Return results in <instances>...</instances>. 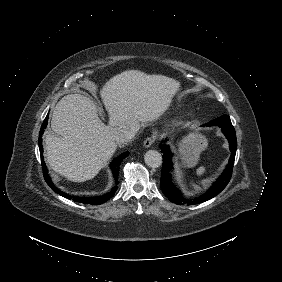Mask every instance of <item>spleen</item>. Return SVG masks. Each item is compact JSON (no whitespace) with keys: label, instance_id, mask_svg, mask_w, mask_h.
Wrapping results in <instances>:
<instances>
[{"label":"spleen","instance_id":"1","mask_svg":"<svg viewBox=\"0 0 282 282\" xmlns=\"http://www.w3.org/2000/svg\"><path fill=\"white\" fill-rule=\"evenodd\" d=\"M213 166H214L213 163H210V164H209V167H210V168L213 167ZM206 174H207V168H206L204 165H201V166H199V167L197 168V170H196V176H197L198 178H203Z\"/></svg>","mask_w":282,"mask_h":282}]
</instances>
